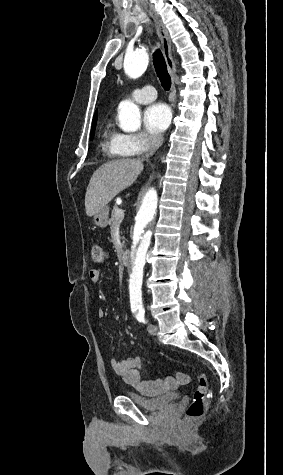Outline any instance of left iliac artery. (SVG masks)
<instances>
[{
	"instance_id": "left-iliac-artery-1",
	"label": "left iliac artery",
	"mask_w": 283,
	"mask_h": 475,
	"mask_svg": "<svg viewBox=\"0 0 283 475\" xmlns=\"http://www.w3.org/2000/svg\"><path fill=\"white\" fill-rule=\"evenodd\" d=\"M132 311L134 313H137L136 314V318L140 321V322H143V323H146L145 321V311L144 310H140L139 312H137V308L136 307H132Z\"/></svg>"
}]
</instances>
